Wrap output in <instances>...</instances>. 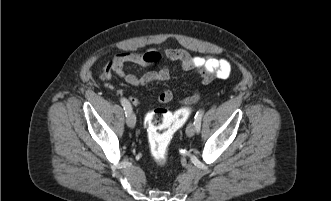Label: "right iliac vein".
Here are the masks:
<instances>
[{
	"mask_svg": "<svg viewBox=\"0 0 331 201\" xmlns=\"http://www.w3.org/2000/svg\"><path fill=\"white\" fill-rule=\"evenodd\" d=\"M126 123L130 128H134L136 124V117L135 115L131 112L126 116Z\"/></svg>",
	"mask_w": 331,
	"mask_h": 201,
	"instance_id": "1",
	"label": "right iliac vein"
}]
</instances>
